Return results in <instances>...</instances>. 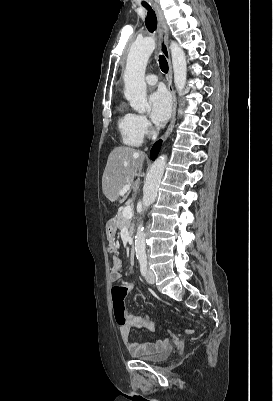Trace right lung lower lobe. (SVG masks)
<instances>
[{
  "label": "right lung lower lobe",
  "instance_id": "1",
  "mask_svg": "<svg viewBox=\"0 0 273 401\" xmlns=\"http://www.w3.org/2000/svg\"><path fill=\"white\" fill-rule=\"evenodd\" d=\"M161 143H162V141L159 140L153 145L151 152H150V156H151L152 160H154L157 157V154L161 148Z\"/></svg>",
  "mask_w": 273,
  "mask_h": 401
}]
</instances>
